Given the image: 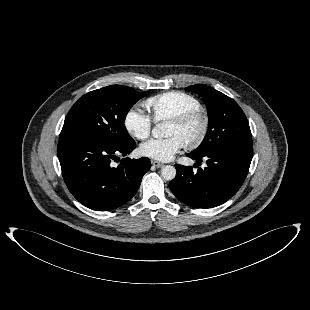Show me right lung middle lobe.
<instances>
[{"mask_svg":"<svg viewBox=\"0 0 310 310\" xmlns=\"http://www.w3.org/2000/svg\"><path fill=\"white\" fill-rule=\"evenodd\" d=\"M146 93L111 85L83 95L68 112L60 139L91 138L122 145L132 141L124 125L129 109Z\"/></svg>","mask_w":310,"mask_h":310,"instance_id":"1","label":"right lung middle lobe"}]
</instances>
